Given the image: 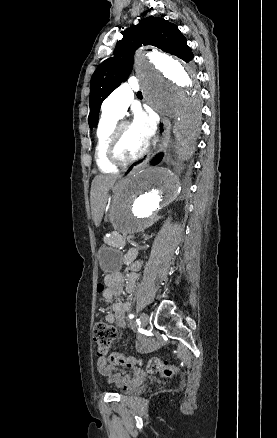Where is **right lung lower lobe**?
Listing matches in <instances>:
<instances>
[{
	"label": "right lung lower lobe",
	"instance_id": "obj_1",
	"mask_svg": "<svg viewBox=\"0 0 277 438\" xmlns=\"http://www.w3.org/2000/svg\"><path fill=\"white\" fill-rule=\"evenodd\" d=\"M161 159H162V155L157 156L155 158V160L153 161V164L155 165V164L159 163L161 161Z\"/></svg>",
	"mask_w": 277,
	"mask_h": 438
}]
</instances>
